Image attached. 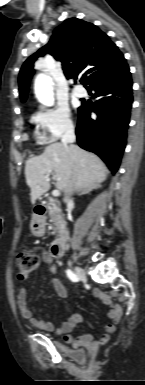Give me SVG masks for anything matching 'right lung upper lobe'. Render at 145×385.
I'll use <instances>...</instances> for the list:
<instances>
[{"instance_id":"obj_1","label":"right lung upper lobe","mask_w":145,"mask_h":385,"mask_svg":"<svg viewBox=\"0 0 145 385\" xmlns=\"http://www.w3.org/2000/svg\"><path fill=\"white\" fill-rule=\"evenodd\" d=\"M46 53L62 62L67 79L76 80L80 77L87 88L127 64L118 47L97 26L81 19L70 18L56 29L54 37L47 45L23 64L19 74V91L23 102L34 73V61Z\"/></svg>"}]
</instances>
